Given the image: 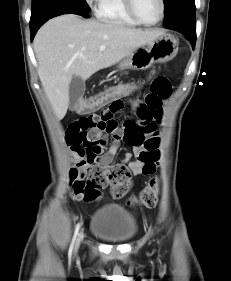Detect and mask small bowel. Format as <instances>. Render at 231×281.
<instances>
[{
	"label": "small bowel",
	"mask_w": 231,
	"mask_h": 281,
	"mask_svg": "<svg viewBox=\"0 0 231 281\" xmlns=\"http://www.w3.org/2000/svg\"><path fill=\"white\" fill-rule=\"evenodd\" d=\"M149 92L143 100L135 103L136 120H127L121 126L114 116L123 108V101H114L103 109L101 114L86 113L68 125L66 143L72 166L69 171V184L83 181L90 167L110 169L117 165L128 166L134 176L153 174L158 165L157 151L158 126L163 119V105L171 94V85L164 76H155L147 82ZM148 135L149 137H145ZM106 136L112 138L107 148ZM125 142L133 149L136 157L127 152L117 162L115 156ZM73 199L80 200L71 192Z\"/></svg>",
	"instance_id": "small-bowel-1"
}]
</instances>
